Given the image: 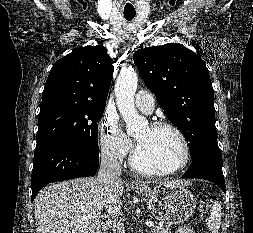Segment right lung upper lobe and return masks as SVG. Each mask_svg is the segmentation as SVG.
<instances>
[{
  "label": "right lung upper lobe",
  "instance_id": "cb5924a9",
  "mask_svg": "<svg viewBox=\"0 0 253 233\" xmlns=\"http://www.w3.org/2000/svg\"><path fill=\"white\" fill-rule=\"evenodd\" d=\"M113 63L103 45L86 46L73 51L51 68L42 103L59 100L106 104Z\"/></svg>",
  "mask_w": 253,
  "mask_h": 233
}]
</instances>
